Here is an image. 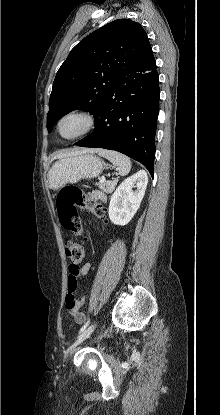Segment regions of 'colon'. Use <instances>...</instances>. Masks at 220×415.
<instances>
[{
  "mask_svg": "<svg viewBox=\"0 0 220 415\" xmlns=\"http://www.w3.org/2000/svg\"><path fill=\"white\" fill-rule=\"evenodd\" d=\"M85 203V197L81 190L76 186H66L62 188L57 196L56 206L60 223L62 226L77 234H83V225L78 217L77 206ZM97 217H103L105 209L96 205L93 208ZM65 252L71 260L69 266V279L66 295V306L71 307L77 299V291L79 286V264L82 262L85 251L81 244L68 241L65 244Z\"/></svg>",
  "mask_w": 220,
  "mask_h": 415,
  "instance_id": "obj_1",
  "label": "colon"
}]
</instances>
